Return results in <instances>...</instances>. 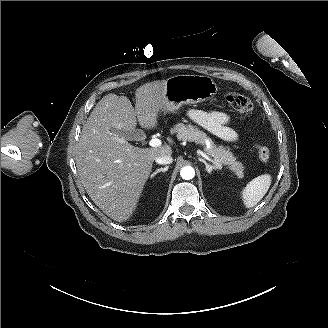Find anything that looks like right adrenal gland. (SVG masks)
<instances>
[{
	"mask_svg": "<svg viewBox=\"0 0 328 328\" xmlns=\"http://www.w3.org/2000/svg\"><path fill=\"white\" fill-rule=\"evenodd\" d=\"M168 168H169V166H166L164 168L158 169L154 174H152L151 177L154 178L158 173H160V172H166L168 170Z\"/></svg>",
	"mask_w": 328,
	"mask_h": 328,
	"instance_id": "right-adrenal-gland-1",
	"label": "right adrenal gland"
}]
</instances>
